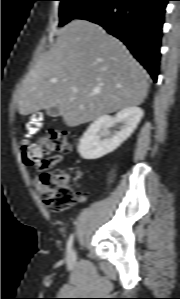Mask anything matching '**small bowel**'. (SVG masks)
<instances>
[{
  "instance_id": "small-bowel-1",
  "label": "small bowel",
  "mask_w": 180,
  "mask_h": 299,
  "mask_svg": "<svg viewBox=\"0 0 180 299\" xmlns=\"http://www.w3.org/2000/svg\"><path fill=\"white\" fill-rule=\"evenodd\" d=\"M62 160H63V156L60 155V154L51 156L48 159H46L40 166H38L36 168V171L39 172V173L43 172V171H46V170L54 167L58 163H60ZM36 188H37L38 191H43L44 190V187H43L41 182H37Z\"/></svg>"
}]
</instances>
